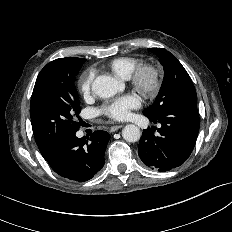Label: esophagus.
<instances>
[{
  "label": "esophagus",
  "mask_w": 232,
  "mask_h": 232,
  "mask_svg": "<svg viewBox=\"0 0 232 232\" xmlns=\"http://www.w3.org/2000/svg\"><path fill=\"white\" fill-rule=\"evenodd\" d=\"M122 127H123V125H115V126H112V127L110 128V132H115V131L121 129Z\"/></svg>",
  "instance_id": "esophagus-1"
}]
</instances>
